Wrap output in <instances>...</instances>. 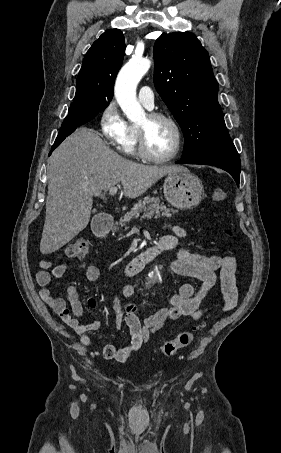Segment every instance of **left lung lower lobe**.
<instances>
[{
	"mask_svg": "<svg viewBox=\"0 0 281 453\" xmlns=\"http://www.w3.org/2000/svg\"><path fill=\"white\" fill-rule=\"evenodd\" d=\"M178 164H202L219 167L232 175L237 185L239 186L241 162L239 155L234 150L216 152L208 155H203L195 158L181 159Z\"/></svg>",
	"mask_w": 281,
	"mask_h": 453,
	"instance_id": "1",
	"label": "left lung lower lobe"
}]
</instances>
